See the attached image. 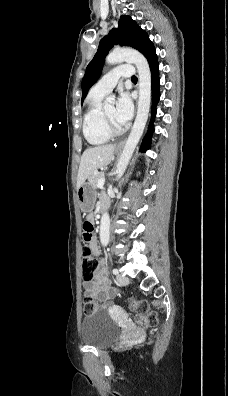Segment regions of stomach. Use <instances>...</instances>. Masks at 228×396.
Listing matches in <instances>:
<instances>
[{
	"label": "stomach",
	"mask_w": 228,
	"mask_h": 396,
	"mask_svg": "<svg viewBox=\"0 0 228 396\" xmlns=\"http://www.w3.org/2000/svg\"><path fill=\"white\" fill-rule=\"evenodd\" d=\"M77 198L80 209L85 213H89L95 205L96 189L89 182H84L77 189Z\"/></svg>",
	"instance_id": "obj_1"
}]
</instances>
